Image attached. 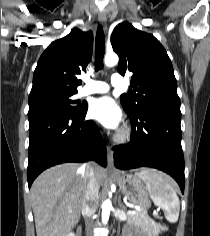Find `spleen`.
I'll return each instance as SVG.
<instances>
[{"instance_id": "1", "label": "spleen", "mask_w": 210, "mask_h": 236, "mask_svg": "<svg viewBox=\"0 0 210 236\" xmlns=\"http://www.w3.org/2000/svg\"><path fill=\"white\" fill-rule=\"evenodd\" d=\"M145 183L154 204L164 210L166 219L176 223L179 217L180 201L169 178L161 172L144 169L136 173Z\"/></svg>"}]
</instances>
